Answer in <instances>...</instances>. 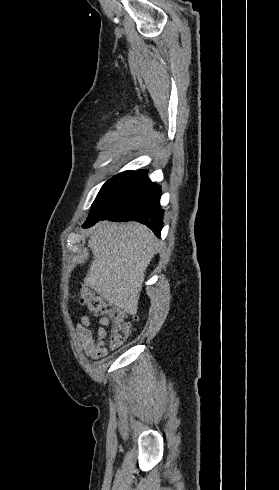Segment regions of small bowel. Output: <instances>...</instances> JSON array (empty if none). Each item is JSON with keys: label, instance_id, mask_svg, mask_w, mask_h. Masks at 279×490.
Here are the masks:
<instances>
[{"label": "small bowel", "instance_id": "1", "mask_svg": "<svg viewBox=\"0 0 279 490\" xmlns=\"http://www.w3.org/2000/svg\"><path fill=\"white\" fill-rule=\"evenodd\" d=\"M93 319L89 315L82 316L76 326V335L80 347L93 359L104 358L108 355L107 336L110 322L107 318L97 319L95 335L92 332Z\"/></svg>", "mask_w": 279, "mask_h": 490}]
</instances>
